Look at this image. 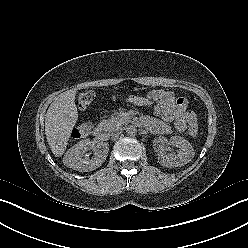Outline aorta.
Returning <instances> with one entry per match:
<instances>
[{"label": "aorta", "instance_id": "aorta-1", "mask_svg": "<svg viewBox=\"0 0 248 248\" xmlns=\"http://www.w3.org/2000/svg\"><path fill=\"white\" fill-rule=\"evenodd\" d=\"M126 134L130 137H134L137 134V129L133 125H129L126 127Z\"/></svg>", "mask_w": 248, "mask_h": 248}]
</instances>
